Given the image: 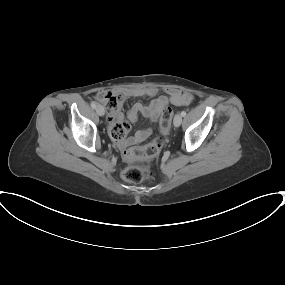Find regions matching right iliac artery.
<instances>
[{"label": "right iliac artery", "instance_id": "1", "mask_svg": "<svg viewBox=\"0 0 285 285\" xmlns=\"http://www.w3.org/2000/svg\"><path fill=\"white\" fill-rule=\"evenodd\" d=\"M91 107H92L93 109H95V108H96V103L93 102V103L91 104Z\"/></svg>", "mask_w": 285, "mask_h": 285}]
</instances>
